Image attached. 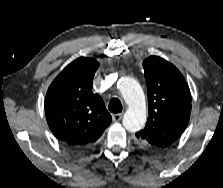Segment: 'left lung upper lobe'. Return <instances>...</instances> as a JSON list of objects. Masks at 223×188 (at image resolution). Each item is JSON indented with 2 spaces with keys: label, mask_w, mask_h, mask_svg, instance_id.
I'll list each match as a JSON object with an SVG mask.
<instances>
[{
  "label": "left lung upper lobe",
  "mask_w": 223,
  "mask_h": 188,
  "mask_svg": "<svg viewBox=\"0 0 223 188\" xmlns=\"http://www.w3.org/2000/svg\"><path fill=\"white\" fill-rule=\"evenodd\" d=\"M148 91V121L136 133L142 146L162 150L184 132L191 112V94L180 71L168 61L150 56L143 62Z\"/></svg>",
  "instance_id": "left-lung-upper-lobe-1"
}]
</instances>
